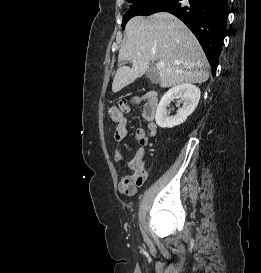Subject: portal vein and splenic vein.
Returning a JSON list of instances; mask_svg holds the SVG:
<instances>
[{"label":"portal vein and splenic vein","mask_w":261,"mask_h":273,"mask_svg":"<svg viewBox=\"0 0 261 273\" xmlns=\"http://www.w3.org/2000/svg\"><path fill=\"white\" fill-rule=\"evenodd\" d=\"M158 66L160 67V68H162L163 66H164V62H158Z\"/></svg>","instance_id":"obj_1"}]
</instances>
